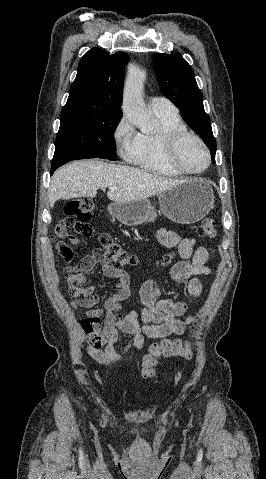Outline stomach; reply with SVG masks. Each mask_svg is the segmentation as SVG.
Segmentation results:
<instances>
[{
    "mask_svg": "<svg viewBox=\"0 0 266 479\" xmlns=\"http://www.w3.org/2000/svg\"><path fill=\"white\" fill-rule=\"evenodd\" d=\"M214 203L211 186L202 179H188L159 195L160 210L169 220L192 224L203 219ZM112 217L125 225L153 222L157 216L147 199L113 202L108 206Z\"/></svg>",
    "mask_w": 266,
    "mask_h": 479,
    "instance_id": "0dacf381",
    "label": "stomach"
}]
</instances>
